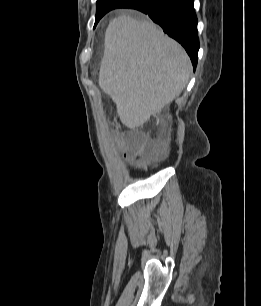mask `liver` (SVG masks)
Listing matches in <instances>:
<instances>
[{
	"instance_id": "obj_1",
	"label": "liver",
	"mask_w": 261,
	"mask_h": 306,
	"mask_svg": "<svg viewBox=\"0 0 261 306\" xmlns=\"http://www.w3.org/2000/svg\"><path fill=\"white\" fill-rule=\"evenodd\" d=\"M191 71L184 49L152 22L123 15L109 23L98 82L128 128L142 126L180 95Z\"/></svg>"
}]
</instances>
